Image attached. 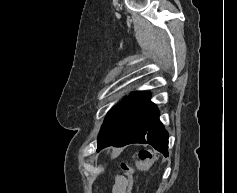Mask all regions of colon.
Segmentation results:
<instances>
[{"mask_svg":"<svg viewBox=\"0 0 237 193\" xmlns=\"http://www.w3.org/2000/svg\"><path fill=\"white\" fill-rule=\"evenodd\" d=\"M155 160L154 153L149 149H143L139 152L137 159L132 161H123L121 163V168L124 172L125 177L127 178L128 185V193H131L132 189V178L134 171H146L148 170Z\"/></svg>","mask_w":237,"mask_h":193,"instance_id":"5ec220e1","label":"colon"}]
</instances>
